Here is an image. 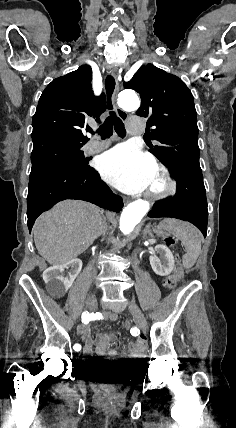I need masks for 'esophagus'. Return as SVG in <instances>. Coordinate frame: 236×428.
Masks as SVG:
<instances>
[{
  "label": "esophagus",
  "mask_w": 236,
  "mask_h": 428,
  "mask_svg": "<svg viewBox=\"0 0 236 428\" xmlns=\"http://www.w3.org/2000/svg\"><path fill=\"white\" fill-rule=\"evenodd\" d=\"M110 72L113 75V77L116 79V85H115V89H114V93L112 96V103L114 106V109L118 115V117L123 120L126 121L127 119V113L124 112V110H122L117 103V97H118V93L120 90V85H119V81H118V76H119V72H118V67L117 66H111L110 67Z\"/></svg>",
  "instance_id": "esophagus-1"
}]
</instances>
